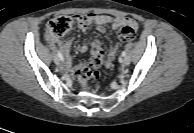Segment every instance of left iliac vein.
I'll list each match as a JSON object with an SVG mask.
<instances>
[{
	"mask_svg": "<svg viewBox=\"0 0 194 133\" xmlns=\"http://www.w3.org/2000/svg\"><path fill=\"white\" fill-rule=\"evenodd\" d=\"M122 65L127 66L130 64V58L128 56H126L123 60H122Z\"/></svg>",
	"mask_w": 194,
	"mask_h": 133,
	"instance_id": "1",
	"label": "left iliac vein"
}]
</instances>
